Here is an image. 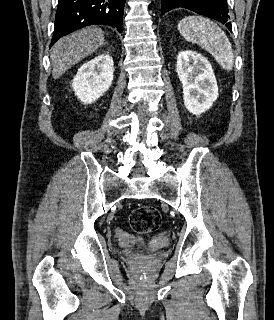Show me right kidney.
Returning <instances> with one entry per match:
<instances>
[{"label": "right kidney", "instance_id": "1", "mask_svg": "<svg viewBox=\"0 0 274 320\" xmlns=\"http://www.w3.org/2000/svg\"><path fill=\"white\" fill-rule=\"evenodd\" d=\"M113 78V58L109 54H99L79 68L72 80L73 92L83 104H93L109 90Z\"/></svg>", "mask_w": 274, "mask_h": 320}]
</instances>
